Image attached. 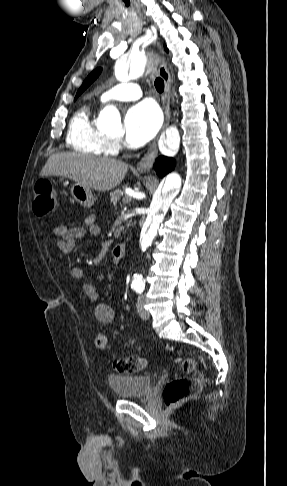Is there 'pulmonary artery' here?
<instances>
[{
	"label": "pulmonary artery",
	"mask_w": 287,
	"mask_h": 486,
	"mask_svg": "<svg viewBox=\"0 0 287 486\" xmlns=\"http://www.w3.org/2000/svg\"><path fill=\"white\" fill-rule=\"evenodd\" d=\"M141 96H142V90L138 84L125 82V83L117 84L112 88L108 89L107 91H105L101 95L100 100L102 102H108L113 100L131 101V100H137L141 98Z\"/></svg>",
	"instance_id": "obj_1"
}]
</instances>
